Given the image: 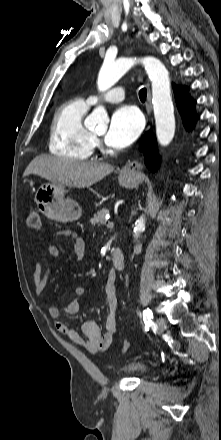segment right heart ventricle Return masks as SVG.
<instances>
[{"mask_svg": "<svg viewBox=\"0 0 221 440\" xmlns=\"http://www.w3.org/2000/svg\"><path fill=\"white\" fill-rule=\"evenodd\" d=\"M89 105L77 98L67 101L58 109L50 132L51 153L73 160H86L92 155L94 137L83 123Z\"/></svg>", "mask_w": 221, "mask_h": 440, "instance_id": "right-heart-ventricle-1", "label": "right heart ventricle"}]
</instances>
